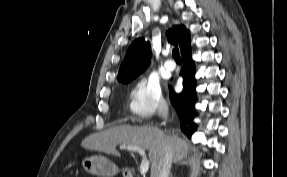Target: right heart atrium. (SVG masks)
<instances>
[{"instance_id":"obj_1","label":"right heart atrium","mask_w":287,"mask_h":177,"mask_svg":"<svg viewBox=\"0 0 287 177\" xmlns=\"http://www.w3.org/2000/svg\"><path fill=\"white\" fill-rule=\"evenodd\" d=\"M130 99L132 109L144 117L163 111L165 106L160 81L153 75L138 80L132 86Z\"/></svg>"}]
</instances>
